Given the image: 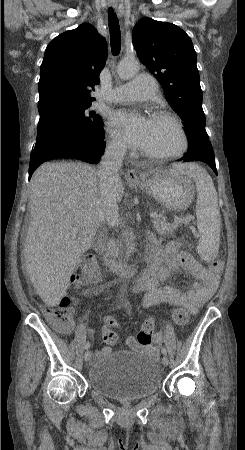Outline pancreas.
I'll return each instance as SVG.
<instances>
[{
	"label": "pancreas",
	"mask_w": 245,
	"mask_h": 450,
	"mask_svg": "<svg viewBox=\"0 0 245 450\" xmlns=\"http://www.w3.org/2000/svg\"><path fill=\"white\" fill-rule=\"evenodd\" d=\"M191 220V216L176 218L173 223L166 222V219L162 215H158L156 219L153 220V227L160 235H169L173 233V230L178 227V225H188ZM131 233L124 231L122 233V239L120 242V248L127 251V255L134 250V244L132 243Z\"/></svg>",
	"instance_id": "obj_1"
}]
</instances>
